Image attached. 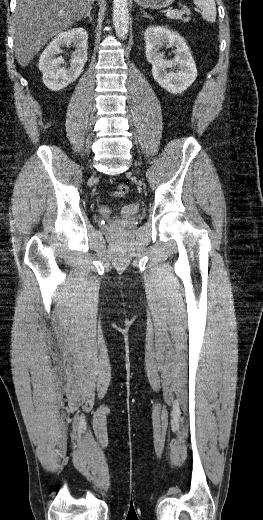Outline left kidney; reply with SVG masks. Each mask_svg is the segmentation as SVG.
<instances>
[{
	"label": "left kidney",
	"instance_id": "left-kidney-1",
	"mask_svg": "<svg viewBox=\"0 0 263 520\" xmlns=\"http://www.w3.org/2000/svg\"><path fill=\"white\" fill-rule=\"evenodd\" d=\"M147 61L152 64V75L158 84L173 94L184 92L196 79L197 69L185 40L175 31L151 26L144 33ZM163 46L176 47L173 60H165L160 52ZM177 67L176 71H167Z\"/></svg>",
	"mask_w": 263,
	"mask_h": 520
}]
</instances>
